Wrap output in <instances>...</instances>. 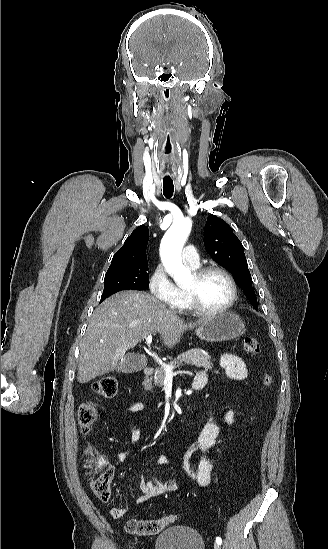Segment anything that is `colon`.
I'll return each mask as SVG.
<instances>
[{"mask_svg":"<svg viewBox=\"0 0 328 549\" xmlns=\"http://www.w3.org/2000/svg\"><path fill=\"white\" fill-rule=\"evenodd\" d=\"M246 352L257 355L261 351L260 344L253 337H245L243 340ZM273 383L271 374H265L263 384L269 387ZM118 382L113 377H103L96 381L92 386V391L103 398H111L116 395ZM78 424L84 434H89L97 419V410L95 405L86 401L80 404L77 412ZM88 456L87 468L91 480V488L94 495L101 501H107L111 495L112 469L101 462L94 461V450L91 446L86 448ZM176 521L175 515H167L151 520L132 519L126 523L127 532L135 535L147 536L154 535L162 531L166 526Z\"/></svg>","mask_w":328,"mask_h":549,"instance_id":"obj_1","label":"colon"}]
</instances>
